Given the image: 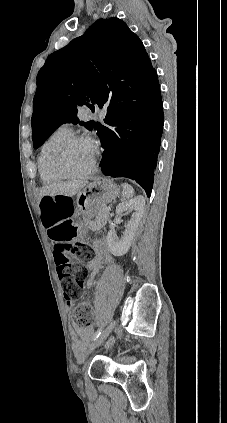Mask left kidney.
<instances>
[{
	"instance_id": "5707ae66",
	"label": "left kidney",
	"mask_w": 227,
	"mask_h": 423,
	"mask_svg": "<svg viewBox=\"0 0 227 423\" xmlns=\"http://www.w3.org/2000/svg\"><path fill=\"white\" fill-rule=\"evenodd\" d=\"M144 208L145 200L143 196H137V198H133V200H129V202H122V204L117 206V215H121L123 211H134L131 215V219L127 221L126 229L123 231V235L120 239L118 235H115V231H112V229L107 233V245L113 255H124V253H127L136 233L139 221H141L144 215Z\"/></svg>"
}]
</instances>
